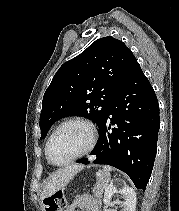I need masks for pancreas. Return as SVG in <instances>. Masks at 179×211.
I'll return each mask as SVG.
<instances>
[{
    "label": "pancreas",
    "instance_id": "cf45deb5",
    "mask_svg": "<svg viewBox=\"0 0 179 211\" xmlns=\"http://www.w3.org/2000/svg\"><path fill=\"white\" fill-rule=\"evenodd\" d=\"M106 184H107V182L105 180H100V179L97 180V182L93 188V194L97 199L101 198Z\"/></svg>",
    "mask_w": 179,
    "mask_h": 211
}]
</instances>
